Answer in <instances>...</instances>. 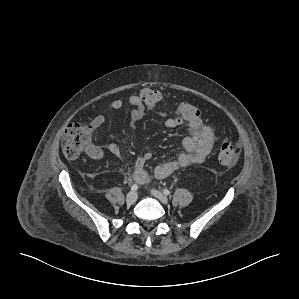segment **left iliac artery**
I'll return each mask as SVG.
<instances>
[{"label": "left iliac artery", "mask_w": 299, "mask_h": 299, "mask_svg": "<svg viewBox=\"0 0 299 299\" xmlns=\"http://www.w3.org/2000/svg\"><path fill=\"white\" fill-rule=\"evenodd\" d=\"M163 192L165 195H170V191L168 189H164Z\"/></svg>", "instance_id": "obj_1"}]
</instances>
